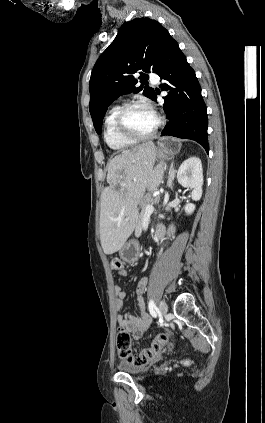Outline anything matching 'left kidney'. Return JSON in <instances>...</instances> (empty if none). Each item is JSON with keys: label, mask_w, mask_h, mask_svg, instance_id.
I'll return each mask as SVG.
<instances>
[{"label": "left kidney", "mask_w": 265, "mask_h": 423, "mask_svg": "<svg viewBox=\"0 0 265 423\" xmlns=\"http://www.w3.org/2000/svg\"><path fill=\"white\" fill-rule=\"evenodd\" d=\"M177 180L183 187L193 189L191 194L192 200H200L203 185V169L201 160L198 157H190L186 159L178 169ZM184 210L186 214H192L195 210V204H186Z\"/></svg>", "instance_id": "1"}]
</instances>
